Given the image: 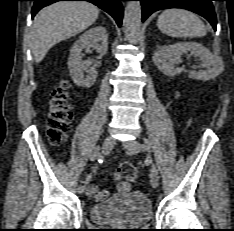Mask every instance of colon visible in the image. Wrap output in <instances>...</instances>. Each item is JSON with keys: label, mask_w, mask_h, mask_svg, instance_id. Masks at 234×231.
Returning a JSON list of instances; mask_svg holds the SVG:
<instances>
[{"label": "colon", "mask_w": 234, "mask_h": 231, "mask_svg": "<svg viewBox=\"0 0 234 231\" xmlns=\"http://www.w3.org/2000/svg\"><path fill=\"white\" fill-rule=\"evenodd\" d=\"M69 83L61 82L52 92L49 101L48 135L51 142L61 144L64 142L69 124L72 119V112L68 103ZM115 180L126 178L129 181L136 179V170L130 162L122 163L113 174Z\"/></svg>", "instance_id": "colon-1"}]
</instances>
